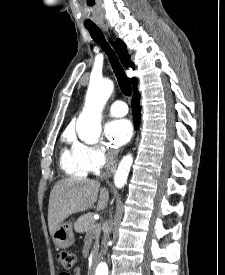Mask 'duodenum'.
<instances>
[{
	"label": "duodenum",
	"instance_id": "1",
	"mask_svg": "<svg viewBox=\"0 0 225 275\" xmlns=\"http://www.w3.org/2000/svg\"><path fill=\"white\" fill-rule=\"evenodd\" d=\"M96 266V258L94 257L91 262L90 274L93 275Z\"/></svg>",
	"mask_w": 225,
	"mask_h": 275
}]
</instances>
